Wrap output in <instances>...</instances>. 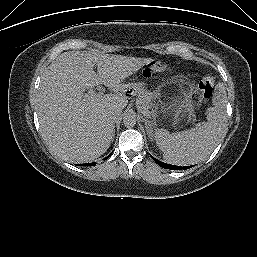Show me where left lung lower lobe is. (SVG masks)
<instances>
[{
	"label": "left lung lower lobe",
	"instance_id": "0a47b994",
	"mask_svg": "<svg viewBox=\"0 0 257 257\" xmlns=\"http://www.w3.org/2000/svg\"><path fill=\"white\" fill-rule=\"evenodd\" d=\"M151 158H152L159 166H161V167H163V168H166V169H171V170H182V169L185 170V169H188V168H191L192 166H194V165H192V166H184V167H182V166H175V165H170V164H166V163H164V162H161V161L155 159V158L152 157V156H151Z\"/></svg>",
	"mask_w": 257,
	"mask_h": 257
}]
</instances>
